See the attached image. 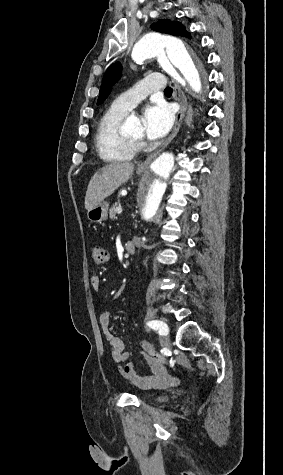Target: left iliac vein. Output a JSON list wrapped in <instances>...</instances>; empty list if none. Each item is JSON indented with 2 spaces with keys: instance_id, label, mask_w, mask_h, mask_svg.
<instances>
[{
  "instance_id": "obj_1",
  "label": "left iliac vein",
  "mask_w": 283,
  "mask_h": 475,
  "mask_svg": "<svg viewBox=\"0 0 283 475\" xmlns=\"http://www.w3.org/2000/svg\"><path fill=\"white\" fill-rule=\"evenodd\" d=\"M166 325H167V324H166ZM164 329H165L166 333L169 332V327H168V326H165ZM166 335H167V334H166ZM159 341H160V343H161L162 346L167 347V348H171L170 341H169V339H168L165 335L160 336Z\"/></svg>"
}]
</instances>
